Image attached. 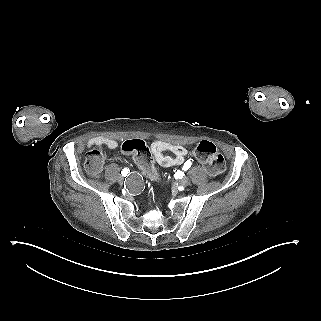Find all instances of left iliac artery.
<instances>
[{
	"label": "left iliac artery",
	"mask_w": 321,
	"mask_h": 321,
	"mask_svg": "<svg viewBox=\"0 0 321 321\" xmlns=\"http://www.w3.org/2000/svg\"><path fill=\"white\" fill-rule=\"evenodd\" d=\"M192 162L191 161H186V163L183 165V170H187L191 167Z\"/></svg>",
	"instance_id": "44dca946"
}]
</instances>
